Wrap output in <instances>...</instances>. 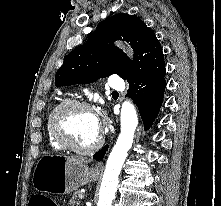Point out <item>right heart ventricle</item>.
<instances>
[{"label":"right heart ventricle","instance_id":"1","mask_svg":"<svg viewBox=\"0 0 221 206\" xmlns=\"http://www.w3.org/2000/svg\"><path fill=\"white\" fill-rule=\"evenodd\" d=\"M54 110V109H53ZM52 110V111H53ZM52 111L49 113L48 115V118H47V122H46V132H47V138H48V141H49V144L51 145V147H53L54 149H58V150H61L63 149L64 147L61 146L53 137L52 133H51V130H50V116H51V113Z\"/></svg>","mask_w":221,"mask_h":206}]
</instances>
